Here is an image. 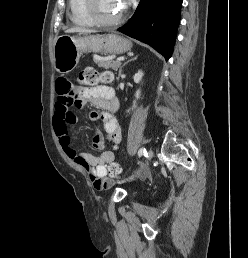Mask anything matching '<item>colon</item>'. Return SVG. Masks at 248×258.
<instances>
[{
	"mask_svg": "<svg viewBox=\"0 0 248 258\" xmlns=\"http://www.w3.org/2000/svg\"><path fill=\"white\" fill-rule=\"evenodd\" d=\"M111 78L109 73H99L93 68H86L79 73L78 85L73 89V95L77 96L82 87L97 85L100 82H107ZM111 179H118L121 176V168L117 163H114L109 168Z\"/></svg>",
	"mask_w": 248,
	"mask_h": 258,
	"instance_id": "5ec220e1",
	"label": "colon"
}]
</instances>
